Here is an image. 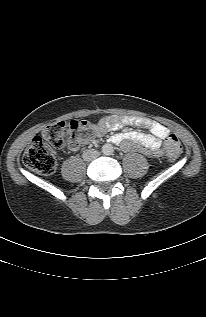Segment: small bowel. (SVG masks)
I'll return each instance as SVG.
<instances>
[{"label": "small bowel", "mask_w": 206, "mask_h": 317, "mask_svg": "<svg viewBox=\"0 0 206 317\" xmlns=\"http://www.w3.org/2000/svg\"><path fill=\"white\" fill-rule=\"evenodd\" d=\"M125 126H141L149 129L150 133L141 131L116 133L110 137L112 143L119 144L124 150H131L137 146L142 153L152 158L163 155L162 140L167 138L170 131L163 124L146 117L118 115L105 117L97 124L96 134L102 135L107 130L117 131ZM82 143L73 145L71 149L77 150Z\"/></svg>", "instance_id": "obj_1"}]
</instances>
